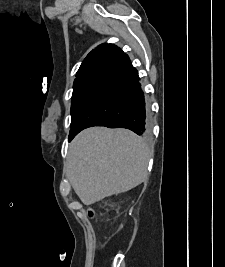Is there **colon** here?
<instances>
[{
    "label": "colon",
    "mask_w": 225,
    "mask_h": 267,
    "mask_svg": "<svg viewBox=\"0 0 225 267\" xmlns=\"http://www.w3.org/2000/svg\"><path fill=\"white\" fill-rule=\"evenodd\" d=\"M89 215L93 216V211L92 210H89Z\"/></svg>",
    "instance_id": "colon-1"
}]
</instances>
